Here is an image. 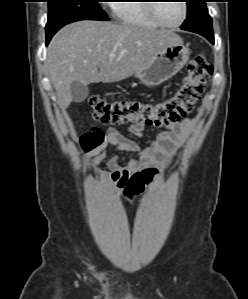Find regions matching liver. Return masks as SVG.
<instances>
[{"label":"liver","mask_w":248,"mask_h":299,"mask_svg":"<svg viewBox=\"0 0 248 299\" xmlns=\"http://www.w3.org/2000/svg\"><path fill=\"white\" fill-rule=\"evenodd\" d=\"M178 43H183L181 37L167 29L89 20L66 25L52 38L46 60L59 107L65 110L72 102V82L121 81Z\"/></svg>","instance_id":"liver-1"}]
</instances>
